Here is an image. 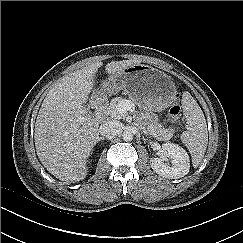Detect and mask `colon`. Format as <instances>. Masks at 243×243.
Segmentation results:
<instances>
[{
    "label": "colon",
    "instance_id": "colon-1",
    "mask_svg": "<svg viewBox=\"0 0 243 243\" xmlns=\"http://www.w3.org/2000/svg\"><path fill=\"white\" fill-rule=\"evenodd\" d=\"M181 109L178 105H174L169 110V120L172 124L176 125L180 118Z\"/></svg>",
    "mask_w": 243,
    "mask_h": 243
}]
</instances>
